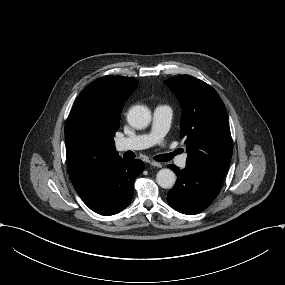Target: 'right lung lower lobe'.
<instances>
[{"instance_id":"obj_1","label":"right lung lower lobe","mask_w":285,"mask_h":285,"mask_svg":"<svg viewBox=\"0 0 285 285\" xmlns=\"http://www.w3.org/2000/svg\"><path fill=\"white\" fill-rule=\"evenodd\" d=\"M144 163L122 159L86 196L85 204L101 215H113L125 209L133 197V183Z\"/></svg>"}]
</instances>
